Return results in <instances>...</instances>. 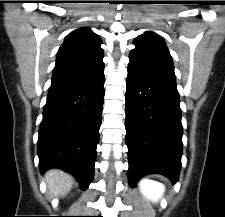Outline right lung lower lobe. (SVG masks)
Wrapping results in <instances>:
<instances>
[{
	"mask_svg": "<svg viewBox=\"0 0 225 217\" xmlns=\"http://www.w3.org/2000/svg\"><path fill=\"white\" fill-rule=\"evenodd\" d=\"M104 76L96 82L49 90L39 129L41 172L61 168L72 173L82 189L90 184L99 140Z\"/></svg>",
	"mask_w": 225,
	"mask_h": 217,
	"instance_id": "right-lung-lower-lobe-1",
	"label": "right lung lower lobe"
}]
</instances>
